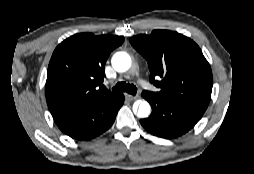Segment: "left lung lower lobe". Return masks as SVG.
I'll use <instances>...</instances> for the list:
<instances>
[{
	"mask_svg": "<svg viewBox=\"0 0 254 174\" xmlns=\"http://www.w3.org/2000/svg\"><path fill=\"white\" fill-rule=\"evenodd\" d=\"M142 96L151 104L152 113L149 118L140 120V123L148 132L158 137H179L191 130L203 115L195 109L170 104L145 91Z\"/></svg>",
	"mask_w": 254,
	"mask_h": 174,
	"instance_id": "obj_1",
	"label": "left lung lower lobe"
}]
</instances>
